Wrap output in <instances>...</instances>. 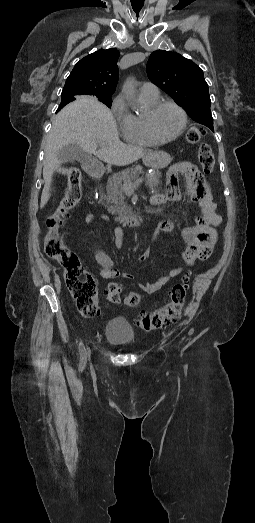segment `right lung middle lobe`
Listing matches in <instances>:
<instances>
[{"label":"right lung middle lobe","mask_w":255,"mask_h":523,"mask_svg":"<svg viewBox=\"0 0 255 523\" xmlns=\"http://www.w3.org/2000/svg\"><path fill=\"white\" fill-rule=\"evenodd\" d=\"M62 98H68L70 96L68 95H61ZM98 100L102 103H104L105 105H107L109 108H111V104H112V99L111 97H100L98 98Z\"/></svg>","instance_id":"right-lung-middle-lobe-1"}]
</instances>
